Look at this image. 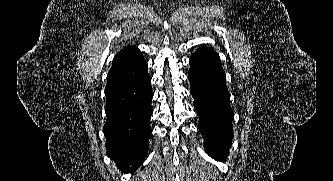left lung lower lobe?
Returning <instances> with one entry per match:
<instances>
[{
  "label": "left lung lower lobe",
  "mask_w": 333,
  "mask_h": 181,
  "mask_svg": "<svg viewBox=\"0 0 333 181\" xmlns=\"http://www.w3.org/2000/svg\"><path fill=\"white\" fill-rule=\"evenodd\" d=\"M189 81L205 149L215 160L224 161L233 138L234 113L217 53L203 47L192 54Z\"/></svg>",
  "instance_id": "1"
}]
</instances>
